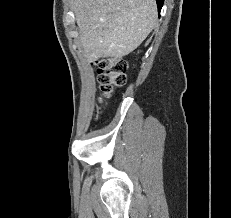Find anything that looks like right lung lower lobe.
<instances>
[{
    "label": "right lung lower lobe",
    "instance_id": "1",
    "mask_svg": "<svg viewBox=\"0 0 231 218\" xmlns=\"http://www.w3.org/2000/svg\"><path fill=\"white\" fill-rule=\"evenodd\" d=\"M158 6V12L160 13L161 8L163 6L164 0H156Z\"/></svg>",
    "mask_w": 231,
    "mask_h": 218
}]
</instances>
